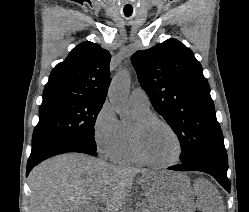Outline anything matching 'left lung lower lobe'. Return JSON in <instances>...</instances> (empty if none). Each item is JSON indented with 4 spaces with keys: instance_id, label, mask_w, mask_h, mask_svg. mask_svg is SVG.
<instances>
[{
    "instance_id": "left-lung-lower-lobe-1",
    "label": "left lung lower lobe",
    "mask_w": 249,
    "mask_h": 212,
    "mask_svg": "<svg viewBox=\"0 0 249 212\" xmlns=\"http://www.w3.org/2000/svg\"><path fill=\"white\" fill-rule=\"evenodd\" d=\"M176 171H201L212 175L228 192L229 181L227 178L228 158L223 144L206 147L197 152L188 161L169 167Z\"/></svg>"
}]
</instances>
